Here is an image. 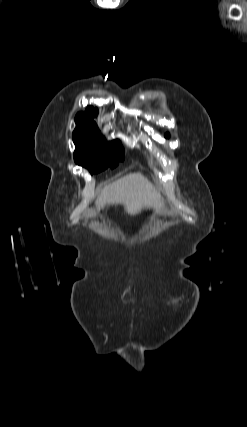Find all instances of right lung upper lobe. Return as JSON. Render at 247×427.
I'll list each match as a JSON object with an SVG mask.
<instances>
[{"label":"right lung upper lobe","mask_w":247,"mask_h":427,"mask_svg":"<svg viewBox=\"0 0 247 427\" xmlns=\"http://www.w3.org/2000/svg\"><path fill=\"white\" fill-rule=\"evenodd\" d=\"M97 115V111L93 107L89 106L86 112H79L75 117L77 127L98 129L96 123L93 121V117Z\"/></svg>","instance_id":"right-lung-upper-lobe-1"}]
</instances>
